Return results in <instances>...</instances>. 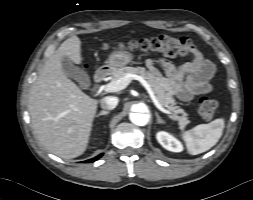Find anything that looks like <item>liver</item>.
Here are the masks:
<instances>
[{
    "label": "liver",
    "mask_w": 253,
    "mask_h": 200,
    "mask_svg": "<svg viewBox=\"0 0 253 200\" xmlns=\"http://www.w3.org/2000/svg\"><path fill=\"white\" fill-rule=\"evenodd\" d=\"M63 57L81 64V41L77 36L65 40L44 63L31 86L28 110L40 144L61 158L72 159L87 148L99 101L66 76Z\"/></svg>",
    "instance_id": "obj_1"
}]
</instances>
